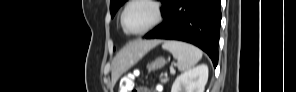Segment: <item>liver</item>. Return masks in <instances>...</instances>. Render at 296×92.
<instances>
[{"label": "liver", "instance_id": "6515ba94", "mask_svg": "<svg viewBox=\"0 0 296 92\" xmlns=\"http://www.w3.org/2000/svg\"><path fill=\"white\" fill-rule=\"evenodd\" d=\"M159 43V40H138L129 43L122 50H120L112 62V84L114 85L125 71L132 67L149 50Z\"/></svg>", "mask_w": 296, "mask_h": 92}]
</instances>
